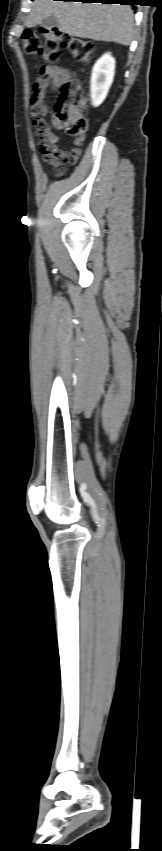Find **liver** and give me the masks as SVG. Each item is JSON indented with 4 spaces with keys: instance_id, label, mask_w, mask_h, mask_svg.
<instances>
[{
    "instance_id": "liver-1",
    "label": "liver",
    "mask_w": 162,
    "mask_h": 851,
    "mask_svg": "<svg viewBox=\"0 0 162 851\" xmlns=\"http://www.w3.org/2000/svg\"><path fill=\"white\" fill-rule=\"evenodd\" d=\"M55 16L59 30L70 36L128 46L133 40L134 16L130 6L71 1L35 0L26 26Z\"/></svg>"
}]
</instances>
